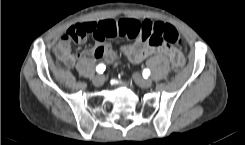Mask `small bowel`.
<instances>
[{
    "mask_svg": "<svg viewBox=\"0 0 245 145\" xmlns=\"http://www.w3.org/2000/svg\"><path fill=\"white\" fill-rule=\"evenodd\" d=\"M132 21L138 22L137 20L132 18H124L120 20L106 18L101 20L86 21L85 24L91 25V27L93 28L94 38L96 41L95 46L93 48L84 49L80 53L75 54L72 53L70 50V41L61 40L60 43L57 45L55 52L58 55L62 49L66 51L67 55L63 59V61L69 68H72L76 64L78 59L86 56H123L134 64H138L147 57L155 54H165L170 59H174L177 56V52L173 48H169L163 45L155 46L141 40H138L130 45H110L111 38L108 37L109 32L113 30H118L121 22ZM84 42H86V38L78 40V43L80 44Z\"/></svg>",
    "mask_w": 245,
    "mask_h": 145,
    "instance_id": "small-bowel-1",
    "label": "small bowel"
}]
</instances>
